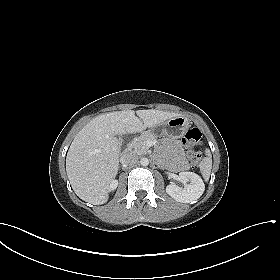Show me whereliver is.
<instances>
[{
    "label": "liver",
    "mask_w": 280,
    "mask_h": 280,
    "mask_svg": "<svg viewBox=\"0 0 280 280\" xmlns=\"http://www.w3.org/2000/svg\"><path fill=\"white\" fill-rule=\"evenodd\" d=\"M177 116L149 109L116 111L92 119L77 133L66 157L67 176L76 195L94 205L106 203L109 185L119 169L116 135L142 132Z\"/></svg>",
    "instance_id": "6515ba94"
}]
</instances>
